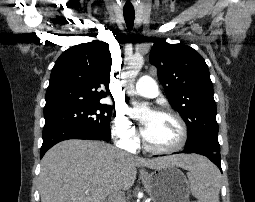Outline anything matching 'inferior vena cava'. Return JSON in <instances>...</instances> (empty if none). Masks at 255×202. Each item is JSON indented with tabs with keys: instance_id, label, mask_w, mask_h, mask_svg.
<instances>
[{
	"instance_id": "602c4592",
	"label": "inferior vena cava",
	"mask_w": 255,
	"mask_h": 202,
	"mask_svg": "<svg viewBox=\"0 0 255 202\" xmlns=\"http://www.w3.org/2000/svg\"><path fill=\"white\" fill-rule=\"evenodd\" d=\"M108 202H125L123 193L121 191H115L110 194Z\"/></svg>"
}]
</instances>
